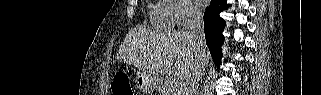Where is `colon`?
I'll return each mask as SVG.
<instances>
[{
  "label": "colon",
  "instance_id": "colon-1",
  "mask_svg": "<svg viewBox=\"0 0 321 95\" xmlns=\"http://www.w3.org/2000/svg\"><path fill=\"white\" fill-rule=\"evenodd\" d=\"M112 91L115 95H133L129 78L126 75H116L112 82Z\"/></svg>",
  "mask_w": 321,
  "mask_h": 95
}]
</instances>
